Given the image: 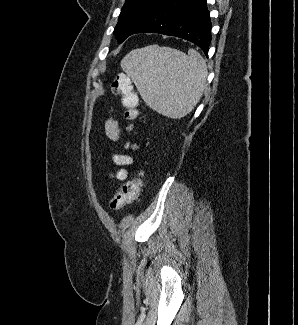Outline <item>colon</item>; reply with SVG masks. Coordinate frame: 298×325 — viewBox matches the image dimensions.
<instances>
[{
    "instance_id": "colon-1",
    "label": "colon",
    "mask_w": 298,
    "mask_h": 325,
    "mask_svg": "<svg viewBox=\"0 0 298 325\" xmlns=\"http://www.w3.org/2000/svg\"><path fill=\"white\" fill-rule=\"evenodd\" d=\"M111 90L120 97V102L125 109V118L132 122L135 121L139 115V99L129 76L125 73L118 74L111 83ZM129 129H132V125L129 126ZM143 184V173L137 172L135 176L124 182L112 197L111 209L120 210L133 203L139 197Z\"/></svg>"
}]
</instances>
